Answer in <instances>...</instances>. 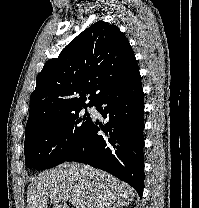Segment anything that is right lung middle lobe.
Here are the masks:
<instances>
[{
    "mask_svg": "<svg viewBox=\"0 0 199 208\" xmlns=\"http://www.w3.org/2000/svg\"><path fill=\"white\" fill-rule=\"evenodd\" d=\"M86 108V107H84ZM79 108L25 134V164L44 170L66 161L78 147L92 120Z\"/></svg>",
    "mask_w": 199,
    "mask_h": 208,
    "instance_id": "dd1d6c3e",
    "label": "right lung middle lobe"
}]
</instances>
